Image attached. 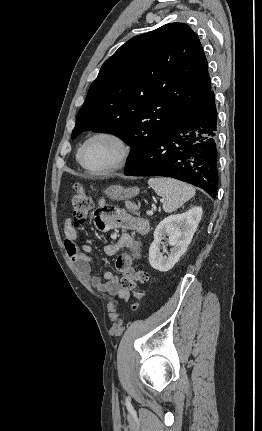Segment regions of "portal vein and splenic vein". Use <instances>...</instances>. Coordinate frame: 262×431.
<instances>
[{
  "mask_svg": "<svg viewBox=\"0 0 262 431\" xmlns=\"http://www.w3.org/2000/svg\"><path fill=\"white\" fill-rule=\"evenodd\" d=\"M153 214V210H148L147 211V215H152Z\"/></svg>",
  "mask_w": 262,
  "mask_h": 431,
  "instance_id": "obj_1",
  "label": "portal vein and splenic vein"
}]
</instances>
